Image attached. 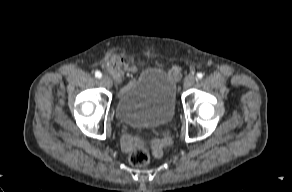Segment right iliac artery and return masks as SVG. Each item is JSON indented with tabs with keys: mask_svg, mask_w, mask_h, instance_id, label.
<instances>
[{
	"mask_svg": "<svg viewBox=\"0 0 292 192\" xmlns=\"http://www.w3.org/2000/svg\"><path fill=\"white\" fill-rule=\"evenodd\" d=\"M95 76H96L97 78H101V77H102V74H101L100 71H96V72H95Z\"/></svg>",
	"mask_w": 292,
	"mask_h": 192,
	"instance_id": "right-iliac-artery-1",
	"label": "right iliac artery"
}]
</instances>
